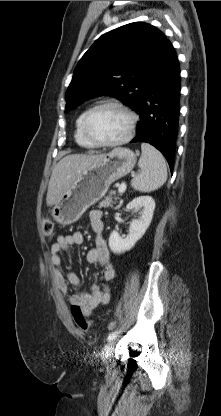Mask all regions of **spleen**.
Masks as SVG:
<instances>
[{
	"mask_svg": "<svg viewBox=\"0 0 221 416\" xmlns=\"http://www.w3.org/2000/svg\"><path fill=\"white\" fill-rule=\"evenodd\" d=\"M142 154L138 162L141 172L131 181L133 189L139 192H151L160 188L167 180L165 158L155 147L141 144Z\"/></svg>",
	"mask_w": 221,
	"mask_h": 416,
	"instance_id": "1",
	"label": "spleen"
}]
</instances>
